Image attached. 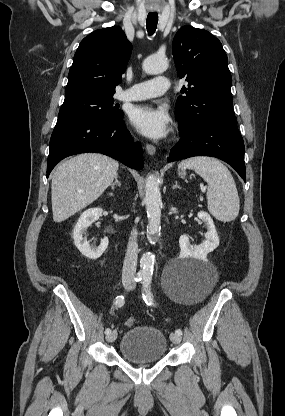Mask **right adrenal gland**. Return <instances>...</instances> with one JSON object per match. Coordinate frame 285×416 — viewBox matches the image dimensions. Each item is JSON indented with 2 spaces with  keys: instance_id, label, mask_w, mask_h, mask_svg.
Masks as SVG:
<instances>
[{
  "instance_id": "obj_1",
  "label": "right adrenal gland",
  "mask_w": 285,
  "mask_h": 416,
  "mask_svg": "<svg viewBox=\"0 0 285 416\" xmlns=\"http://www.w3.org/2000/svg\"><path fill=\"white\" fill-rule=\"evenodd\" d=\"M115 186H119V188L121 186V182H119V180H118V174H117V176H115V182H113V184H111L112 190H114Z\"/></svg>"
}]
</instances>
